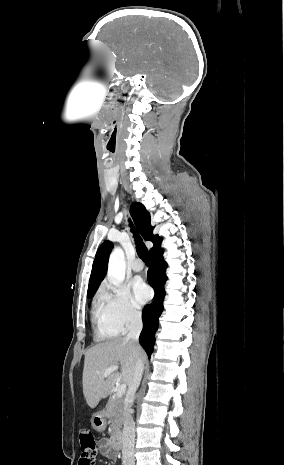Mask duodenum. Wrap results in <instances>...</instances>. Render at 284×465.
<instances>
[{
	"label": "duodenum",
	"mask_w": 284,
	"mask_h": 465,
	"mask_svg": "<svg viewBox=\"0 0 284 465\" xmlns=\"http://www.w3.org/2000/svg\"><path fill=\"white\" fill-rule=\"evenodd\" d=\"M99 414L101 415L102 412H99ZM122 441H123L122 434L116 431L112 439V444L116 450L122 447Z\"/></svg>",
	"instance_id": "410a0bca"
}]
</instances>
